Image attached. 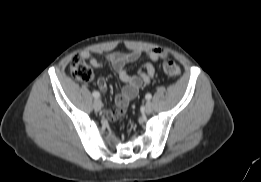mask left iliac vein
Wrapping results in <instances>:
<instances>
[{"label":"left iliac vein","mask_w":261,"mask_h":182,"mask_svg":"<svg viewBox=\"0 0 261 182\" xmlns=\"http://www.w3.org/2000/svg\"><path fill=\"white\" fill-rule=\"evenodd\" d=\"M144 111H145V113H147V114L152 113V111H153V105H152L150 102H147V103L145 104Z\"/></svg>","instance_id":"1"}]
</instances>
